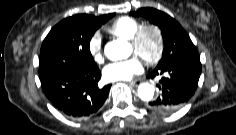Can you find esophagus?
<instances>
[{
	"mask_svg": "<svg viewBox=\"0 0 236 135\" xmlns=\"http://www.w3.org/2000/svg\"><path fill=\"white\" fill-rule=\"evenodd\" d=\"M141 83V80L130 81L129 84L133 87L138 86Z\"/></svg>",
	"mask_w": 236,
	"mask_h": 135,
	"instance_id": "34e87169",
	"label": "esophagus"
}]
</instances>
